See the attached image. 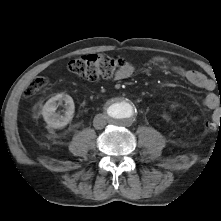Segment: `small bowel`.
I'll return each mask as SVG.
<instances>
[{
  "label": "small bowel",
  "mask_w": 221,
  "mask_h": 221,
  "mask_svg": "<svg viewBox=\"0 0 221 221\" xmlns=\"http://www.w3.org/2000/svg\"><path fill=\"white\" fill-rule=\"evenodd\" d=\"M174 71L188 81L190 84L208 91L209 93L203 99V105L209 109H215L220 104L219 97L212 91L215 89V83L210 78L206 77L201 72L195 70H188L184 68H175ZM134 72V67L128 64L116 75V80H123L130 77Z\"/></svg>",
  "instance_id": "1"
}]
</instances>
